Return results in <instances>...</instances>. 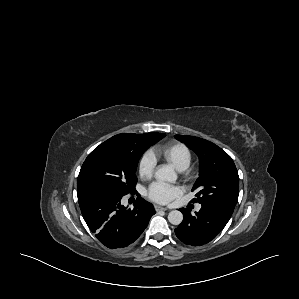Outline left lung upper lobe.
I'll list each match as a JSON object with an SVG mask.
<instances>
[{"instance_id":"left-lung-upper-lobe-1","label":"left lung upper lobe","mask_w":299,"mask_h":299,"mask_svg":"<svg viewBox=\"0 0 299 299\" xmlns=\"http://www.w3.org/2000/svg\"><path fill=\"white\" fill-rule=\"evenodd\" d=\"M175 138L199 157V178L192 189L198 192L192 202L213 206L231 216L239 195V176L232 158L210 141L186 135Z\"/></svg>"}]
</instances>
